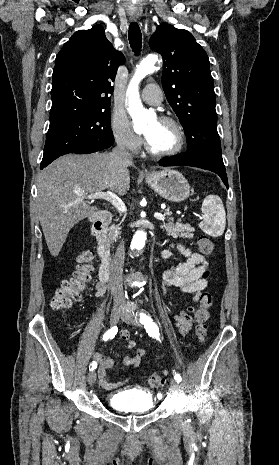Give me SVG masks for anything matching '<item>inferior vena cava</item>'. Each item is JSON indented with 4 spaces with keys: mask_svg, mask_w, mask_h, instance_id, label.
<instances>
[{
    "mask_svg": "<svg viewBox=\"0 0 279 465\" xmlns=\"http://www.w3.org/2000/svg\"><path fill=\"white\" fill-rule=\"evenodd\" d=\"M112 157L132 162V155L126 149L123 142L118 141L117 146L110 153ZM125 259V247L123 239L117 246L116 253L110 264L111 291L114 302L124 301V292L122 286L123 264Z\"/></svg>",
    "mask_w": 279,
    "mask_h": 465,
    "instance_id": "1",
    "label": "inferior vena cava"
}]
</instances>
